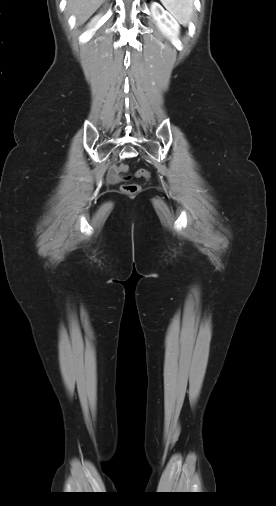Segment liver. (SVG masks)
Listing matches in <instances>:
<instances>
[{
	"mask_svg": "<svg viewBox=\"0 0 276 506\" xmlns=\"http://www.w3.org/2000/svg\"><path fill=\"white\" fill-rule=\"evenodd\" d=\"M105 0H68V11L76 16L77 24H83Z\"/></svg>",
	"mask_w": 276,
	"mask_h": 506,
	"instance_id": "1",
	"label": "liver"
}]
</instances>
